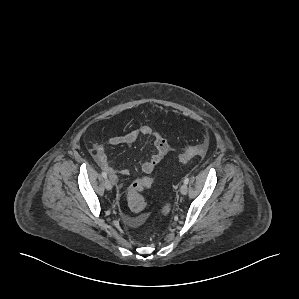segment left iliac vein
I'll return each mask as SVG.
<instances>
[{
  "label": "left iliac vein",
  "instance_id": "obj_1",
  "mask_svg": "<svg viewBox=\"0 0 299 299\" xmlns=\"http://www.w3.org/2000/svg\"><path fill=\"white\" fill-rule=\"evenodd\" d=\"M188 192V188H187V185L186 184H183L181 187H180V193L182 195H186Z\"/></svg>",
  "mask_w": 299,
  "mask_h": 299
}]
</instances>
